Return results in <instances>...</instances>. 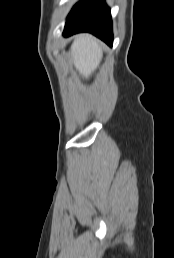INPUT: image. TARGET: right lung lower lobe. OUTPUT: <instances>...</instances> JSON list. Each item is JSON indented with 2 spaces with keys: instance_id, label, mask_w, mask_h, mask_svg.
<instances>
[{
  "instance_id": "obj_1",
  "label": "right lung lower lobe",
  "mask_w": 174,
  "mask_h": 258,
  "mask_svg": "<svg viewBox=\"0 0 174 258\" xmlns=\"http://www.w3.org/2000/svg\"><path fill=\"white\" fill-rule=\"evenodd\" d=\"M79 32L92 33L112 46L110 8L104 0H81L73 7L67 17L63 34L70 36Z\"/></svg>"
}]
</instances>
